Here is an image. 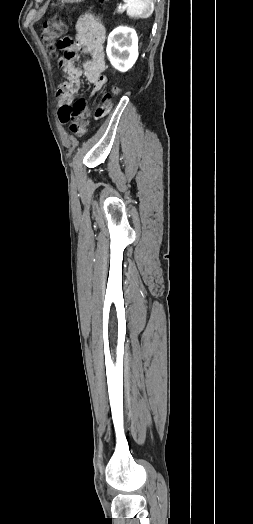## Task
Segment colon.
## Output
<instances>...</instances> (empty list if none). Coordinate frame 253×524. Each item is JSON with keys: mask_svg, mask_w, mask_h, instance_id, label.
<instances>
[{"mask_svg": "<svg viewBox=\"0 0 253 524\" xmlns=\"http://www.w3.org/2000/svg\"><path fill=\"white\" fill-rule=\"evenodd\" d=\"M105 2L106 0H101ZM66 24L60 18H53L43 23L40 30V37L42 43L51 53L52 56H57L58 51L56 46L58 44L57 38L59 35L66 33ZM118 89L113 88L111 91L100 92L98 101H107L109 97L117 93ZM59 118L62 123H70V130L77 136H83L87 132L90 112L87 111V101L85 99L77 100L73 106L64 105L59 110Z\"/></svg>", "mask_w": 253, "mask_h": 524, "instance_id": "obj_1", "label": "colon"}]
</instances>
